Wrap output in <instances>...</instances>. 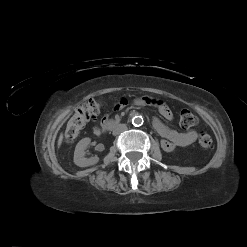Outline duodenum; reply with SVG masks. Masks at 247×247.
<instances>
[{
    "label": "duodenum",
    "mask_w": 247,
    "mask_h": 247,
    "mask_svg": "<svg viewBox=\"0 0 247 247\" xmlns=\"http://www.w3.org/2000/svg\"><path fill=\"white\" fill-rule=\"evenodd\" d=\"M119 123H120L119 119H109L105 122V124L103 126V130L104 131L111 130L112 128L117 126Z\"/></svg>",
    "instance_id": "410a0bca"
}]
</instances>
